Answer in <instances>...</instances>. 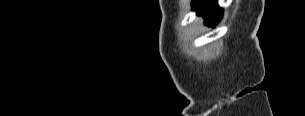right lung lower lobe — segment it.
<instances>
[{
	"mask_svg": "<svg viewBox=\"0 0 305 116\" xmlns=\"http://www.w3.org/2000/svg\"><path fill=\"white\" fill-rule=\"evenodd\" d=\"M192 7L205 17L208 25L216 24L222 17V9L218 7L216 0H194Z\"/></svg>",
	"mask_w": 305,
	"mask_h": 116,
	"instance_id": "1",
	"label": "right lung lower lobe"
}]
</instances>
